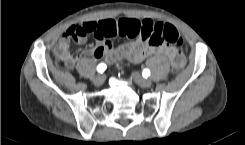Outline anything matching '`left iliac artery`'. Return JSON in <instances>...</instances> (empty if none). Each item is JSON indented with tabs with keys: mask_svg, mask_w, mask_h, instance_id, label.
Segmentation results:
<instances>
[{
	"mask_svg": "<svg viewBox=\"0 0 245 145\" xmlns=\"http://www.w3.org/2000/svg\"><path fill=\"white\" fill-rule=\"evenodd\" d=\"M142 75L144 78H147L150 75V70L149 69H144L142 72Z\"/></svg>",
	"mask_w": 245,
	"mask_h": 145,
	"instance_id": "1",
	"label": "left iliac artery"
}]
</instances>
